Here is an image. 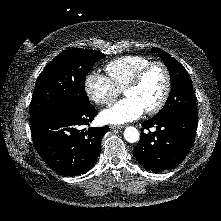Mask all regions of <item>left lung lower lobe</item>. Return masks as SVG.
Masks as SVG:
<instances>
[{
    "label": "left lung lower lobe",
    "instance_id": "obj_1",
    "mask_svg": "<svg viewBox=\"0 0 221 221\" xmlns=\"http://www.w3.org/2000/svg\"><path fill=\"white\" fill-rule=\"evenodd\" d=\"M197 123L198 116L183 113L156 115L143 122L141 139L133 150L136 160L154 173L176 167L194 143ZM152 127L154 132L149 131Z\"/></svg>",
    "mask_w": 221,
    "mask_h": 221
}]
</instances>
